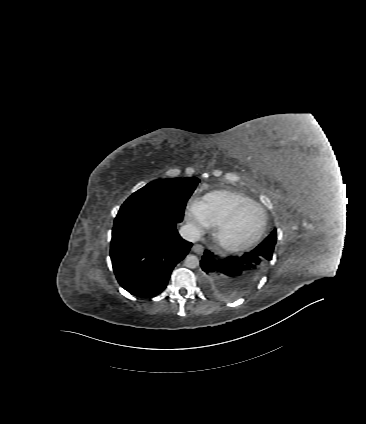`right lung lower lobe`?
Here are the masks:
<instances>
[{
  "mask_svg": "<svg viewBox=\"0 0 366 424\" xmlns=\"http://www.w3.org/2000/svg\"><path fill=\"white\" fill-rule=\"evenodd\" d=\"M191 246L166 216L139 213L115 219L110 257L119 284L135 296L150 298L165 289Z\"/></svg>",
  "mask_w": 366,
  "mask_h": 424,
  "instance_id": "obj_1",
  "label": "right lung lower lobe"
}]
</instances>
